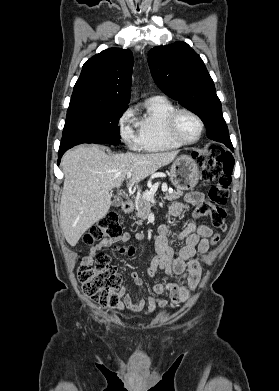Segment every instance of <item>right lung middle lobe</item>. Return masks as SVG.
Returning a JSON list of instances; mask_svg holds the SVG:
<instances>
[{
    "mask_svg": "<svg viewBox=\"0 0 279 391\" xmlns=\"http://www.w3.org/2000/svg\"><path fill=\"white\" fill-rule=\"evenodd\" d=\"M127 107H86L67 111L59 149L81 143H98L103 139H119L118 121Z\"/></svg>",
    "mask_w": 279,
    "mask_h": 391,
    "instance_id": "1",
    "label": "right lung middle lobe"
}]
</instances>
